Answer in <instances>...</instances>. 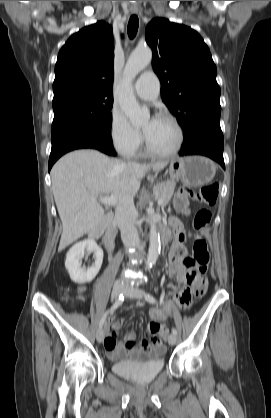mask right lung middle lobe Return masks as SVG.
<instances>
[{
  "label": "right lung middle lobe",
  "instance_id": "obj_1",
  "mask_svg": "<svg viewBox=\"0 0 271 418\" xmlns=\"http://www.w3.org/2000/svg\"><path fill=\"white\" fill-rule=\"evenodd\" d=\"M113 96L75 95L53 101L52 136L66 130L98 125L111 129Z\"/></svg>",
  "mask_w": 271,
  "mask_h": 418
}]
</instances>
